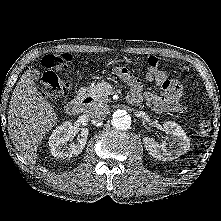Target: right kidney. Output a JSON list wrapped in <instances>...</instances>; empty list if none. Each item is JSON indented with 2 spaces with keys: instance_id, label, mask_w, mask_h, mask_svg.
I'll return each instance as SVG.
<instances>
[{
  "instance_id": "right-kidney-1",
  "label": "right kidney",
  "mask_w": 221,
  "mask_h": 221,
  "mask_svg": "<svg viewBox=\"0 0 221 221\" xmlns=\"http://www.w3.org/2000/svg\"><path fill=\"white\" fill-rule=\"evenodd\" d=\"M80 135L76 143L68 142L74 137V135L79 131ZM88 128H76L72 125L70 121H65L55 130H53L51 136L49 137V147L51 154L54 157L65 159L70 158L74 155H78L82 152L86 145L88 137Z\"/></svg>"
}]
</instances>
